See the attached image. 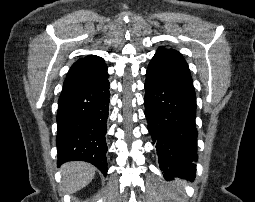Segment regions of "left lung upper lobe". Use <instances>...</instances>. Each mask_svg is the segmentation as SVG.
<instances>
[{
    "label": "left lung upper lobe",
    "instance_id": "5c2ea615",
    "mask_svg": "<svg viewBox=\"0 0 255 202\" xmlns=\"http://www.w3.org/2000/svg\"><path fill=\"white\" fill-rule=\"evenodd\" d=\"M146 73L170 85L194 90L188 64L182 55L173 49L159 48Z\"/></svg>",
    "mask_w": 255,
    "mask_h": 202
}]
</instances>
